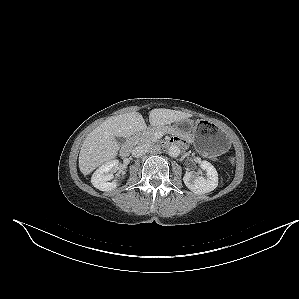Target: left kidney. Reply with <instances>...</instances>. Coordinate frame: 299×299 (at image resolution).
<instances>
[{
    "label": "left kidney",
    "instance_id": "1",
    "mask_svg": "<svg viewBox=\"0 0 299 299\" xmlns=\"http://www.w3.org/2000/svg\"><path fill=\"white\" fill-rule=\"evenodd\" d=\"M200 167L207 172V177L198 176L192 171L186 172L183 181L188 189L196 194H205L218 186V173L214 166L206 160L201 161Z\"/></svg>",
    "mask_w": 299,
    "mask_h": 299
}]
</instances>
